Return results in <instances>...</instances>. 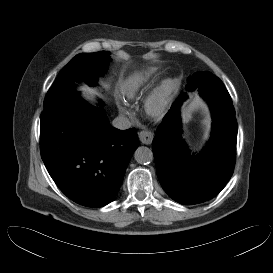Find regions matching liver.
<instances>
[{
  "label": "liver",
  "instance_id": "6515ba94",
  "mask_svg": "<svg viewBox=\"0 0 273 273\" xmlns=\"http://www.w3.org/2000/svg\"><path fill=\"white\" fill-rule=\"evenodd\" d=\"M81 90L87 91V95H86L87 99L92 100V93H94L93 91L88 90V89H84V88H82Z\"/></svg>",
  "mask_w": 273,
  "mask_h": 273
}]
</instances>
